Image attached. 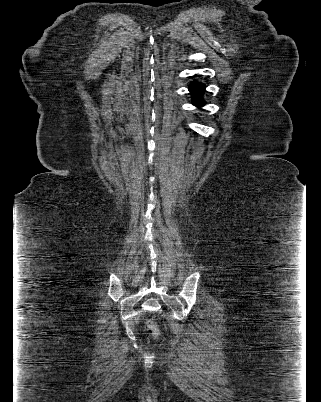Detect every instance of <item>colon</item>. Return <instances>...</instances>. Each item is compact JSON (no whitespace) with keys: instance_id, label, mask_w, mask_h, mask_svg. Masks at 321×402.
Listing matches in <instances>:
<instances>
[{"instance_id":"colon-1","label":"colon","mask_w":321,"mask_h":402,"mask_svg":"<svg viewBox=\"0 0 321 402\" xmlns=\"http://www.w3.org/2000/svg\"><path fill=\"white\" fill-rule=\"evenodd\" d=\"M146 329L154 337H158L160 335L157 326L151 321L146 323Z\"/></svg>"}]
</instances>
